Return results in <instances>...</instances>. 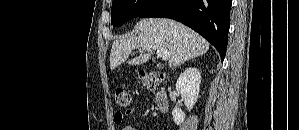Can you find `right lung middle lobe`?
<instances>
[{
  "label": "right lung middle lobe",
  "mask_w": 299,
  "mask_h": 130,
  "mask_svg": "<svg viewBox=\"0 0 299 130\" xmlns=\"http://www.w3.org/2000/svg\"><path fill=\"white\" fill-rule=\"evenodd\" d=\"M155 0H113L111 24L120 26L137 17Z\"/></svg>",
  "instance_id": "right-lung-middle-lobe-1"
}]
</instances>
